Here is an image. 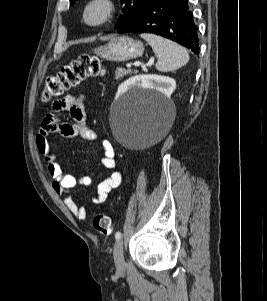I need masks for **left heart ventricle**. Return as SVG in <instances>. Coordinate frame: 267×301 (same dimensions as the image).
I'll return each instance as SVG.
<instances>
[{
  "label": "left heart ventricle",
  "mask_w": 267,
  "mask_h": 301,
  "mask_svg": "<svg viewBox=\"0 0 267 301\" xmlns=\"http://www.w3.org/2000/svg\"><path fill=\"white\" fill-rule=\"evenodd\" d=\"M100 10L99 9H94L92 12H91V17L95 18L98 16Z\"/></svg>",
  "instance_id": "obj_1"
}]
</instances>
